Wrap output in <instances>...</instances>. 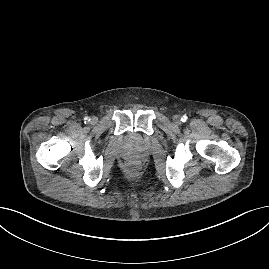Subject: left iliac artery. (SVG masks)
<instances>
[{
    "mask_svg": "<svg viewBox=\"0 0 269 269\" xmlns=\"http://www.w3.org/2000/svg\"><path fill=\"white\" fill-rule=\"evenodd\" d=\"M187 119H188V117H187L186 115H183L182 118H181V121H182V122H186Z\"/></svg>",
    "mask_w": 269,
    "mask_h": 269,
    "instance_id": "44dca946",
    "label": "left iliac artery"
}]
</instances>
